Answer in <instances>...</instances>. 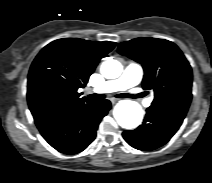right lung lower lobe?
<instances>
[{"mask_svg":"<svg viewBox=\"0 0 212 183\" xmlns=\"http://www.w3.org/2000/svg\"><path fill=\"white\" fill-rule=\"evenodd\" d=\"M110 108L111 103L104 100L75 110H60L35 122L52 147L65 154H76L95 139L98 125Z\"/></svg>","mask_w":212,"mask_h":183,"instance_id":"obj_1","label":"right lung lower lobe"}]
</instances>
